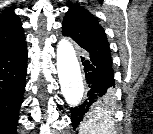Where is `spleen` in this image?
<instances>
[{
    "mask_svg": "<svg viewBox=\"0 0 153 134\" xmlns=\"http://www.w3.org/2000/svg\"><path fill=\"white\" fill-rule=\"evenodd\" d=\"M79 134H115L112 112L103 105H93L79 127Z\"/></svg>",
    "mask_w": 153,
    "mask_h": 134,
    "instance_id": "3e777b00",
    "label": "spleen"
}]
</instances>
